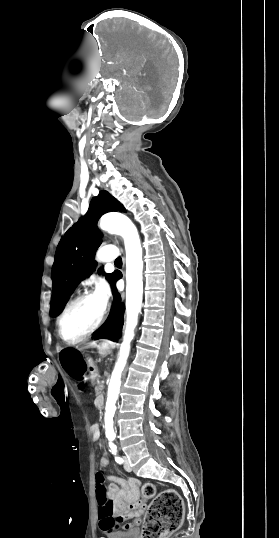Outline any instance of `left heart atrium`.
I'll list each match as a JSON object with an SVG mask.
<instances>
[{
	"label": "left heart atrium",
	"instance_id": "39dd6f15",
	"mask_svg": "<svg viewBox=\"0 0 279 538\" xmlns=\"http://www.w3.org/2000/svg\"><path fill=\"white\" fill-rule=\"evenodd\" d=\"M110 295H111V289L108 282L104 279L99 280L96 286V296L99 299L102 306H106L108 304Z\"/></svg>",
	"mask_w": 279,
	"mask_h": 538
}]
</instances>
